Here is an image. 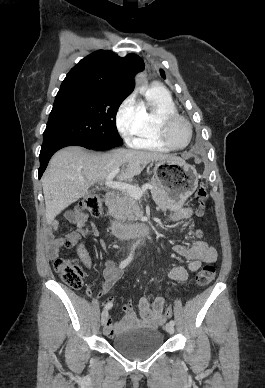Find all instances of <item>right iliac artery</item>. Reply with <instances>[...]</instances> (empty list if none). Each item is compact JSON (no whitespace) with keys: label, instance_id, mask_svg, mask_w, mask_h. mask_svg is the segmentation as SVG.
<instances>
[{"label":"right iliac artery","instance_id":"right-iliac-artery-1","mask_svg":"<svg viewBox=\"0 0 265 388\" xmlns=\"http://www.w3.org/2000/svg\"><path fill=\"white\" fill-rule=\"evenodd\" d=\"M133 252H134V248L131 250L130 255H129L124 261H122V262L120 263L119 267H120L121 269L125 268V267L129 264V262L132 260V258H133ZM111 307H112V305H106L104 309H105V310H108V309H110Z\"/></svg>","mask_w":265,"mask_h":388}]
</instances>
